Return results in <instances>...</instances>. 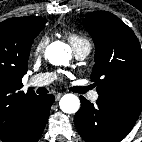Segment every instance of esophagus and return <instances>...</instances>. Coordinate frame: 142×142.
I'll use <instances>...</instances> for the list:
<instances>
[{"label": "esophagus", "mask_w": 142, "mask_h": 142, "mask_svg": "<svg viewBox=\"0 0 142 142\" xmlns=\"http://www.w3.org/2000/svg\"><path fill=\"white\" fill-rule=\"evenodd\" d=\"M62 95H63L62 93H56L55 94V100L58 101L61 98Z\"/></svg>", "instance_id": "esophagus-1"}]
</instances>
